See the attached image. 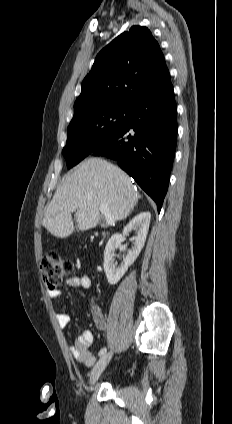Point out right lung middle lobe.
<instances>
[{
	"label": "right lung middle lobe",
	"mask_w": 232,
	"mask_h": 424,
	"mask_svg": "<svg viewBox=\"0 0 232 424\" xmlns=\"http://www.w3.org/2000/svg\"><path fill=\"white\" fill-rule=\"evenodd\" d=\"M131 106L102 105L75 115L67 129V143L62 153L67 167L78 164L100 144L121 129L130 116Z\"/></svg>",
	"instance_id": "right-lung-middle-lobe-1"
}]
</instances>
